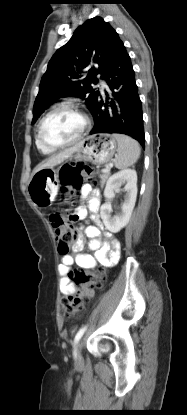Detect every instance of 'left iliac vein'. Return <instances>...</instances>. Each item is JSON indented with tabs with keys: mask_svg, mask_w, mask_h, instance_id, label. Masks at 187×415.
Wrapping results in <instances>:
<instances>
[{
	"mask_svg": "<svg viewBox=\"0 0 187 415\" xmlns=\"http://www.w3.org/2000/svg\"><path fill=\"white\" fill-rule=\"evenodd\" d=\"M82 348H83V341H80L77 344V347H76V360H75V363L77 365L83 363V356H82V353H81Z\"/></svg>",
	"mask_w": 187,
	"mask_h": 415,
	"instance_id": "4c4485c4",
	"label": "left iliac vein"
}]
</instances>
